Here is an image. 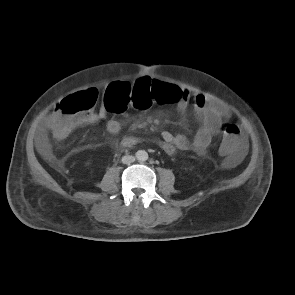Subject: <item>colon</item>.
<instances>
[{
    "instance_id": "obj_1",
    "label": "colon",
    "mask_w": 295,
    "mask_h": 295,
    "mask_svg": "<svg viewBox=\"0 0 295 295\" xmlns=\"http://www.w3.org/2000/svg\"><path fill=\"white\" fill-rule=\"evenodd\" d=\"M177 98V89L170 84L143 81L131 87L129 83L117 82L104 91V104L110 111L123 112L127 106L133 110H151L152 102H171ZM98 99L97 91L87 89L68 96L57 104L51 132L56 139L68 137L83 119L91 113ZM240 128L228 124L223 129L221 148L234 152L240 145Z\"/></svg>"
}]
</instances>
